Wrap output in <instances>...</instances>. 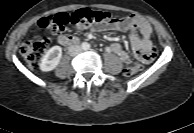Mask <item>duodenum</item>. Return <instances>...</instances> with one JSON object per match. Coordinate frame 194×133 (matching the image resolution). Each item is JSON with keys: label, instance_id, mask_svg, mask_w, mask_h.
Instances as JSON below:
<instances>
[{"label": "duodenum", "instance_id": "1", "mask_svg": "<svg viewBox=\"0 0 194 133\" xmlns=\"http://www.w3.org/2000/svg\"><path fill=\"white\" fill-rule=\"evenodd\" d=\"M58 42L63 46H72L79 42L77 37L71 35H61L58 38Z\"/></svg>", "mask_w": 194, "mask_h": 133}]
</instances>
